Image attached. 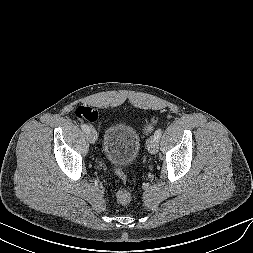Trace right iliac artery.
Wrapping results in <instances>:
<instances>
[{
  "instance_id": "right-iliac-artery-1",
  "label": "right iliac artery",
  "mask_w": 253,
  "mask_h": 253,
  "mask_svg": "<svg viewBox=\"0 0 253 253\" xmlns=\"http://www.w3.org/2000/svg\"><path fill=\"white\" fill-rule=\"evenodd\" d=\"M81 129L87 133L89 131V126L87 124H82Z\"/></svg>"
}]
</instances>
